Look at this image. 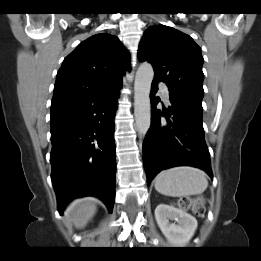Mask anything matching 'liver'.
Segmentation results:
<instances>
[{"label":"liver","mask_w":261,"mask_h":261,"mask_svg":"<svg viewBox=\"0 0 261 261\" xmlns=\"http://www.w3.org/2000/svg\"><path fill=\"white\" fill-rule=\"evenodd\" d=\"M96 203L95 198L75 200L66 211L67 219L73 223L75 228H84L96 213Z\"/></svg>","instance_id":"liver-1"}]
</instances>
